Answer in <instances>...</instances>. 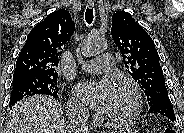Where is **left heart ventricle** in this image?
<instances>
[{
	"instance_id": "left-heart-ventricle-1",
	"label": "left heart ventricle",
	"mask_w": 184,
	"mask_h": 133,
	"mask_svg": "<svg viewBox=\"0 0 184 133\" xmlns=\"http://www.w3.org/2000/svg\"><path fill=\"white\" fill-rule=\"evenodd\" d=\"M131 109V97L129 94L117 90L116 97L110 108L106 111L108 116L120 117Z\"/></svg>"
}]
</instances>
